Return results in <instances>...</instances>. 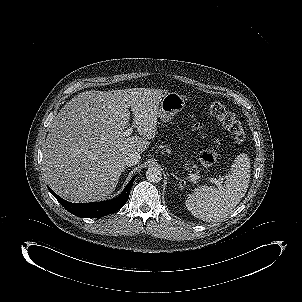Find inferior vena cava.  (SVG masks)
<instances>
[{
    "label": "inferior vena cava",
    "mask_w": 302,
    "mask_h": 302,
    "mask_svg": "<svg viewBox=\"0 0 302 302\" xmlns=\"http://www.w3.org/2000/svg\"><path fill=\"white\" fill-rule=\"evenodd\" d=\"M141 159L140 153L138 152H129L125 159H124V163L127 166H134L136 165Z\"/></svg>",
    "instance_id": "inferior-vena-cava-1"
}]
</instances>
